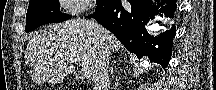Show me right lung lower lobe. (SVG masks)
Returning <instances> with one entry per match:
<instances>
[{"label":"right lung lower lobe","mask_w":216,"mask_h":90,"mask_svg":"<svg viewBox=\"0 0 216 90\" xmlns=\"http://www.w3.org/2000/svg\"><path fill=\"white\" fill-rule=\"evenodd\" d=\"M129 3L130 6L122 7L120 1H102L97 5L92 17L110 30L138 58L147 55L151 62H156L165 69L171 58L173 38L176 33L175 25L156 38L147 33L145 25L159 12L167 13V16L173 18L176 1H170L167 6H163V2L154 6L151 1H129ZM160 6L161 9L157 11ZM154 45H158V48Z\"/></svg>","instance_id":"right-lung-lower-lobe-1"}]
</instances>
